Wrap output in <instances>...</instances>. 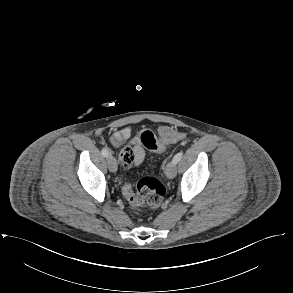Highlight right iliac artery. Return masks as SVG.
<instances>
[{
    "label": "right iliac artery",
    "instance_id": "1",
    "mask_svg": "<svg viewBox=\"0 0 293 293\" xmlns=\"http://www.w3.org/2000/svg\"><path fill=\"white\" fill-rule=\"evenodd\" d=\"M101 153H102V155H103L104 157H108V156H109V151H108L107 149H105V148H103V149L101 150Z\"/></svg>",
    "mask_w": 293,
    "mask_h": 293
}]
</instances>
